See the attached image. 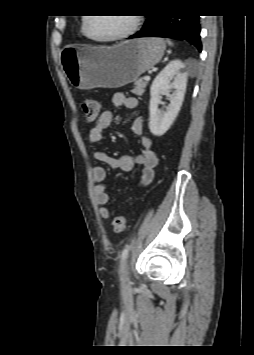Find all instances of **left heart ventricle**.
<instances>
[{
  "label": "left heart ventricle",
  "instance_id": "b2bd125f",
  "mask_svg": "<svg viewBox=\"0 0 254 355\" xmlns=\"http://www.w3.org/2000/svg\"><path fill=\"white\" fill-rule=\"evenodd\" d=\"M132 23V16H109L93 18L90 32L95 37H111L123 33Z\"/></svg>",
  "mask_w": 254,
  "mask_h": 355
}]
</instances>
